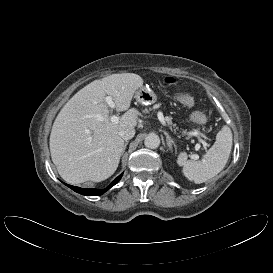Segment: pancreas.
Here are the masks:
<instances>
[{"instance_id":"pancreas-1","label":"pancreas","mask_w":273,"mask_h":273,"mask_svg":"<svg viewBox=\"0 0 273 273\" xmlns=\"http://www.w3.org/2000/svg\"><path fill=\"white\" fill-rule=\"evenodd\" d=\"M143 112L148 113L149 111H148V109H145ZM165 120H166L167 124L170 126L171 129H172V127L175 128L174 130L177 129L176 125L172 124V118L171 117H166ZM183 134H186V131H183Z\"/></svg>"}]
</instances>
